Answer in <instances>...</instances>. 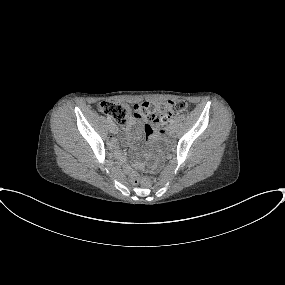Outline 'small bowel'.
I'll return each mask as SVG.
<instances>
[{"label":"small bowel","instance_id":"1","mask_svg":"<svg viewBox=\"0 0 285 285\" xmlns=\"http://www.w3.org/2000/svg\"><path fill=\"white\" fill-rule=\"evenodd\" d=\"M142 131L149 137H155L160 132V128L156 122L142 124L139 120L133 118L129 121L127 132L140 137ZM113 145V141L109 142V146Z\"/></svg>","mask_w":285,"mask_h":285}]
</instances>
